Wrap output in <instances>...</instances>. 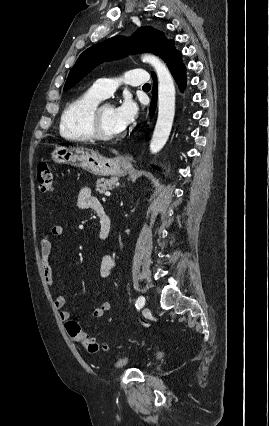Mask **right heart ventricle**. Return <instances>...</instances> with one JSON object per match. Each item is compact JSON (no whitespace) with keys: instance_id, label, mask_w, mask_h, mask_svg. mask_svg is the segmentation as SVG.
Returning <instances> with one entry per match:
<instances>
[{"instance_id":"right-heart-ventricle-1","label":"right heart ventricle","mask_w":269,"mask_h":426,"mask_svg":"<svg viewBox=\"0 0 269 426\" xmlns=\"http://www.w3.org/2000/svg\"><path fill=\"white\" fill-rule=\"evenodd\" d=\"M102 99L90 89L70 102L61 116L60 134L66 139L78 142L93 140L90 117L93 109Z\"/></svg>"}]
</instances>
